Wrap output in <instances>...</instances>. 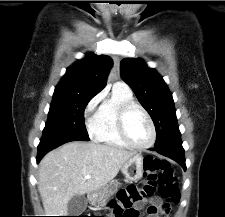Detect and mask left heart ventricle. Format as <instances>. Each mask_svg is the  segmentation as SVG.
Instances as JSON below:
<instances>
[{
    "instance_id": "left-heart-ventricle-1",
    "label": "left heart ventricle",
    "mask_w": 225,
    "mask_h": 217,
    "mask_svg": "<svg viewBox=\"0 0 225 217\" xmlns=\"http://www.w3.org/2000/svg\"><path fill=\"white\" fill-rule=\"evenodd\" d=\"M126 128L131 141L137 145H146L151 140V129L145 115L134 109L130 112Z\"/></svg>"
}]
</instances>
